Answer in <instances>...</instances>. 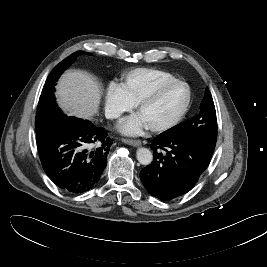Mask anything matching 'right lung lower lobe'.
Segmentation results:
<instances>
[{
	"label": "right lung lower lobe",
	"mask_w": 267,
	"mask_h": 267,
	"mask_svg": "<svg viewBox=\"0 0 267 267\" xmlns=\"http://www.w3.org/2000/svg\"><path fill=\"white\" fill-rule=\"evenodd\" d=\"M36 139L44 171L72 194L86 192L99 181L113 142L104 128L64 114L50 118Z\"/></svg>",
	"instance_id": "98d812e1"
}]
</instances>
